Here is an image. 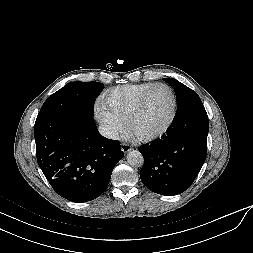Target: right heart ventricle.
I'll list each match as a JSON object with an SVG mask.
<instances>
[{
  "mask_svg": "<svg viewBox=\"0 0 253 253\" xmlns=\"http://www.w3.org/2000/svg\"><path fill=\"white\" fill-rule=\"evenodd\" d=\"M152 83L126 84L113 88L104 97L103 103L123 124L126 123L140 95Z\"/></svg>",
  "mask_w": 253,
  "mask_h": 253,
  "instance_id": "right-heart-ventricle-1",
  "label": "right heart ventricle"
}]
</instances>
